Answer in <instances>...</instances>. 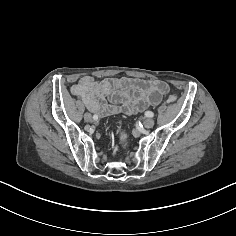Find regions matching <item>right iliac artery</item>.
<instances>
[{
	"label": "right iliac artery",
	"mask_w": 236,
	"mask_h": 236,
	"mask_svg": "<svg viewBox=\"0 0 236 236\" xmlns=\"http://www.w3.org/2000/svg\"><path fill=\"white\" fill-rule=\"evenodd\" d=\"M93 120H95V121L98 120V116H97V115H94V116H93Z\"/></svg>",
	"instance_id": "right-iliac-artery-1"
}]
</instances>
